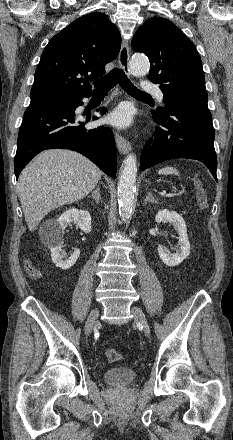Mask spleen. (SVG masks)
I'll return each instance as SVG.
<instances>
[{"mask_svg":"<svg viewBox=\"0 0 233 440\" xmlns=\"http://www.w3.org/2000/svg\"><path fill=\"white\" fill-rule=\"evenodd\" d=\"M158 174H160V175H172V174H174V175H179V172H178V170L177 169H175L174 167H164V168H162V169H160L159 171H158Z\"/></svg>","mask_w":233,"mask_h":440,"instance_id":"spleen-1","label":"spleen"}]
</instances>
